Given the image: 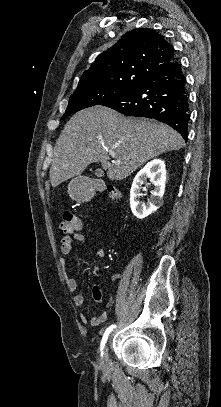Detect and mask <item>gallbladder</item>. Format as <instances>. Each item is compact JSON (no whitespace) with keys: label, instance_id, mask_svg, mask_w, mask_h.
Segmentation results:
<instances>
[{"label":"gallbladder","instance_id":"1","mask_svg":"<svg viewBox=\"0 0 221 407\" xmlns=\"http://www.w3.org/2000/svg\"><path fill=\"white\" fill-rule=\"evenodd\" d=\"M95 175H96V176H99V177L103 176V170H101V169H96V170H95Z\"/></svg>","mask_w":221,"mask_h":407}]
</instances>
